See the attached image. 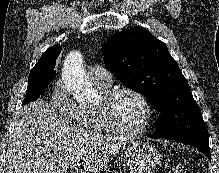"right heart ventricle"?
<instances>
[{"mask_svg":"<svg viewBox=\"0 0 219 173\" xmlns=\"http://www.w3.org/2000/svg\"><path fill=\"white\" fill-rule=\"evenodd\" d=\"M99 92L103 95L110 90V86L95 84ZM82 127L94 132L108 133V128L103 123L97 107H81L78 122Z\"/></svg>","mask_w":219,"mask_h":173,"instance_id":"right-heart-ventricle-1","label":"right heart ventricle"}]
</instances>
